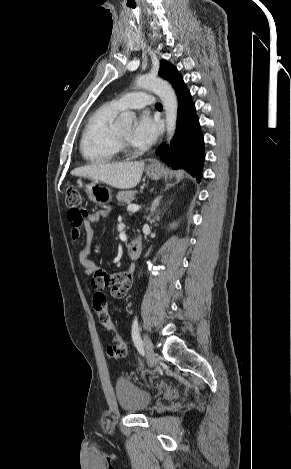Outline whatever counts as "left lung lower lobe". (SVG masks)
I'll return each mask as SVG.
<instances>
[{
  "label": "left lung lower lobe",
  "instance_id": "0a47b994",
  "mask_svg": "<svg viewBox=\"0 0 291 469\" xmlns=\"http://www.w3.org/2000/svg\"><path fill=\"white\" fill-rule=\"evenodd\" d=\"M172 86L178 99L176 131L170 149L163 144L158 148L157 154L173 169H185L200 182L205 153L204 138L196 116L195 104L182 76Z\"/></svg>",
  "mask_w": 291,
  "mask_h": 469
}]
</instances>
